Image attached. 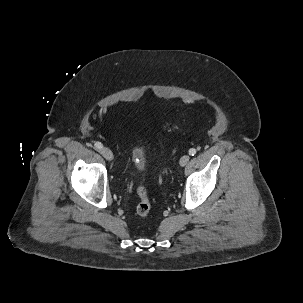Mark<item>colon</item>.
I'll use <instances>...</instances> for the list:
<instances>
[{
  "mask_svg": "<svg viewBox=\"0 0 303 303\" xmlns=\"http://www.w3.org/2000/svg\"><path fill=\"white\" fill-rule=\"evenodd\" d=\"M167 127L175 128L176 126L168 124ZM136 192H137V196L139 198V203L136 208L137 214L140 217L145 218L149 215L150 210H151V202H150V198H149L148 189L146 188V186L141 184L137 187Z\"/></svg>",
  "mask_w": 303,
  "mask_h": 303,
  "instance_id": "5ec220e1",
  "label": "colon"
}]
</instances>
